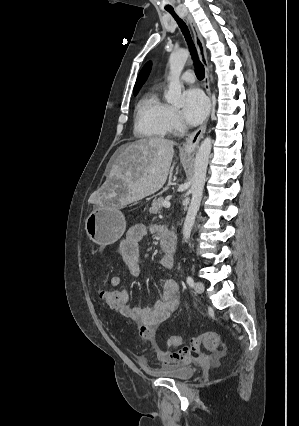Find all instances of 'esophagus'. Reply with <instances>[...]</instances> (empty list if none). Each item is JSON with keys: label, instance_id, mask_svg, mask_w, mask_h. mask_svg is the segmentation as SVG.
Instances as JSON below:
<instances>
[{"label": "esophagus", "instance_id": "esophagus-1", "mask_svg": "<svg viewBox=\"0 0 299 426\" xmlns=\"http://www.w3.org/2000/svg\"><path fill=\"white\" fill-rule=\"evenodd\" d=\"M186 19L191 27L196 48L199 54V58L205 69V77L203 80V84H204L206 93L210 99V109H212L210 79H209V65H208V59H207V53H206L204 41L192 16L190 14H186ZM207 121L208 119H206V121L197 130H195L193 133H191L188 136V138L186 139L182 147L183 154L190 155L197 150L199 146V142L206 131Z\"/></svg>", "mask_w": 299, "mask_h": 426}]
</instances>
